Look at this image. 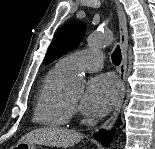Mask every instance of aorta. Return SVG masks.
Here are the masks:
<instances>
[{
    "mask_svg": "<svg viewBox=\"0 0 155 149\" xmlns=\"http://www.w3.org/2000/svg\"><path fill=\"white\" fill-rule=\"evenodd\" d=\"M111 43H112V36L108 31L102 33H92L87 37V44L89 48L92 49L101 48ZM67 87L71 91H79L83 87V83L79 79H73L68 82Z\"/></svg>",
    "mask_w": 155,
    "mask_h": 149,
    "instance_id": "obj_1",
    "label": "aorta"
}]
</instances>
